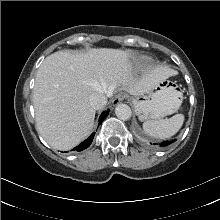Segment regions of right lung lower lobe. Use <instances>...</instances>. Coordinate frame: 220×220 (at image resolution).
<instances>
[{
  "label": "right lung lower lobe",
  "mask_w": 220,
  "mask_h": 220,
  "mask_svg": "<svg viewBox=\"0 0 220 220\" xmlns=\"http://www.w3.org/2000/svg\"><path fill=\"white\" fill-rule=\"evenodd\" d=\"M109 114V110L107 111H104L101 116H100V123L105 119V117ZM99 123V124H100ZM93 138H94V133L89 137L87 138L84 142H82L78 147L74 148L73 150H76V151H82L86 148H88L90 146V144L92 143L93 141Z\"/></svg>",
  "instance_id": "right-lung-lower-lobe-1"
}]
</instances>
